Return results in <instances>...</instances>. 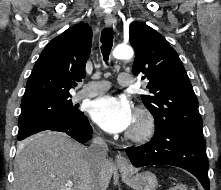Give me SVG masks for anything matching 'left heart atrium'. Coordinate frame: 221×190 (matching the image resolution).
<instances>
[{"mask_svg":"<svg viewBox=\"0 0 221 190\" xmlns=\"http://www.w3.org/2000/svg\"><path fill=\"white\" fill-rule=\"evenodd\" d=\"M90 115L95 123L109 133L125 131L134 122L128 101L111 95L94 100L90 105Z\"/></svg>","mask_w":221,"mask_h":190,"instance_id":"left-heart-atrium-1","label":"left heart atrium"}]
</instances>
